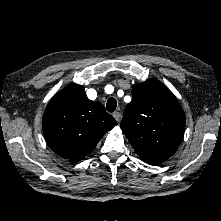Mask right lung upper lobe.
I'll list each match as a JSON object with an SVG mask.
<instances>
[{
	"instance_id": "obj_1",
	"label": "right lung upper lobe",
	"mask_w": 221,
	"mask_h": 221,
	"mask_svg": "<svg viewBox=\"0 0 221 221\" xmlns=\"http://www.w3.org/2000/svg\"><path fill=\"white\" fill-rule=\"evenodd\" d=\"M116 125L102 103L89 100L79 84L60 90L48 103L42 120L50 148L71 161H79L92 152Z\"/></svg>"
}]
</instances>
